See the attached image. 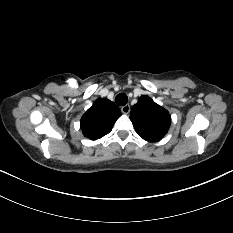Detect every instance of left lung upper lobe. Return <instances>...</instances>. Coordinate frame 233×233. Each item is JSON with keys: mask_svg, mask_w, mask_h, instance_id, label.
I'll return each instance as SVG.
<instances>
[{"mask_svg": "<svg viewBox=\"0 0 233 233\" xmlns=\"http://www.w3.org/2000/svg\"><path fill=\"white\" fill-rule=\"evenodd\" d=\"M130 120L136 132L148 142L161 140L171 122L168 111L146 95L141 96L132 107Z\"/></svg>", "mask_w": 233, "mask_h": 233, "instance_id": "5c2ea615", "label": "left lung upper lobe"}]
</instances>
